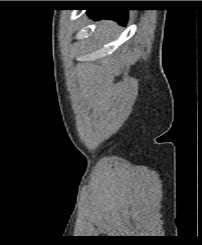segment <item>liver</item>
Returning <instances> with one entry per match:
<instances>
[{
  "mask_svg": "<svg viewBox=\"0 0 202 245\" xmlns=\"http://www.w3.org/2000/svg\"><path fill=\"white\" fill-rule=\"evenodd\" d=\"M114 25L115 24L111 21L101 22L98 27V32L101 33L102 35H105L106 32H111L113 30Z\"/></svg>",
  "mask_w": 202,
  "mask_h": 245,
  "instance_id": "1",
  "label": "liver"
}]
</instances>
